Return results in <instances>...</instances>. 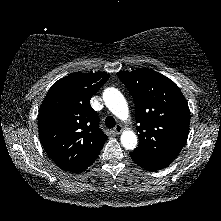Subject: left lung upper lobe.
Listing matches in <instances>:
<instances>
[{"instance_id":"obj_1","label":"left lung upper lobe","mask_w":221,"mask_h":221,"mask_svg":"<svg viewBox=\"0 0 221 221\" xmlns=\"http://www.w3.org/2000/svg\"><path fill=\"white\" fill-rule=\"evenodd\" d=\"M117 76L131 93L136 107L139 146L134 155L173 161L186 144L190 111L179 87L151 70L121 71Z\"/></svg>"}]
</instances>
